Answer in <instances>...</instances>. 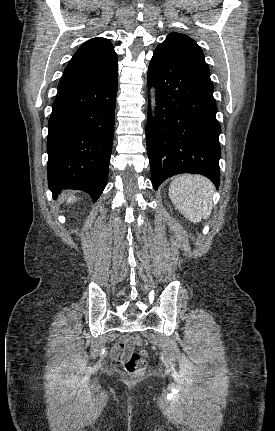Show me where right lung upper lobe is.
<instances>
[{
	"instance_id": "obj_1",
	"label": "right lung upper lobe",
	"mask_w": 275,
	"mask_h": 431,
	"mask_svg": "<svg viewBox=\"0 0 275 431\" xmlns=\"http://www.w3.org/2000/svg\"><path fill=\"white\" fill-rule=\"evenodd\" d=\"M117 68V54L111 42L102 37L93 38L76 51L61 77L58 90L98 82Z\"/></svg>"
}]
</instances>
